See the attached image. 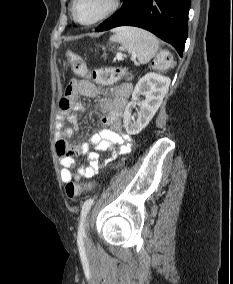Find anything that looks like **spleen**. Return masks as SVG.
<instances>
[{
  "mask_svg": "<svg viewBox=\"0 0 233 284\" xmlns=\"http://www.w3.org/2000/svg\"><path fill=\"white\" fill-rule=\"evenodd\" d=\"M110 41L120 43L129 53L135 52L142 64L148 63L159 49V41L152 33L136 27L123 26L115 29ZM166 57H170L169 61H166ZM171 64V54L168 51H161L158 66L164 68Z\"/></svg>",
  "mask_w": 233,
  "mask_h": 284,
  "instance_id": "3e777b00",
  "label": "spleen"
}]
</instances>
